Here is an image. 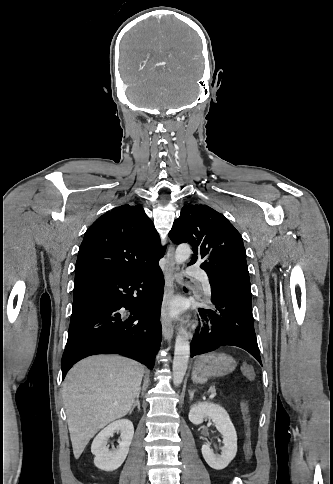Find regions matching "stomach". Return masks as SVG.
Segmentation results:
<instances>
[{"label":"stomach","instance_id":"0dacf381","mask_svg":"<svg viewBox=\"0 0 333 484\" xmlns=\"http://www.w3.org/2000/svg\"><path fill=\"white\" fill-rule=\"evenodd\" d=\"M235 367V360L228 354H203L194 360L192 381L203 384L211 377H219L231 373Z\"/></svg>","mask_w":333,"mask_h":484}]
</instances>
